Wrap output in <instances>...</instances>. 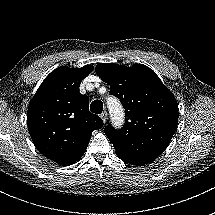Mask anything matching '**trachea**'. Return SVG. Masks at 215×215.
<instances>
[{"instance_id":"obj_1","label":"trachea","mask_w":215,"mask_h":215,"mask_svg":"<svg viewBox=\"0 0 215 215\" xmlns=\"http://www.w3.org/2000/svg\"><path fill=\"white\" fill-rule=\"evenodd\" d=\"M90 109L95 114H101L103 110V103L100 100H94L91 103Z\"/></svg>"}]
</instances>
